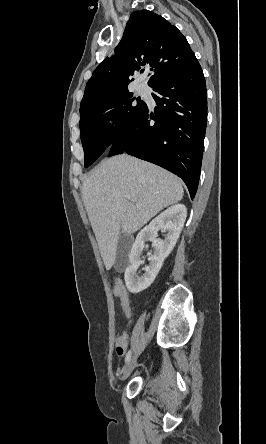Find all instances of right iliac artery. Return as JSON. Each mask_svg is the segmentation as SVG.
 I'll return each instance as SVG.
<instances>
[{"instance_id": "right-iliac-artery-1", "label": "right iliac artery", "mask_w": 266, "mask_h": 444, "mask_svg": "<svg viewBox=\"0 0 266 444\" xmlns=\"http://www.w3.org/2000/svg\"><path fill=\"white\" fill-rule=\"evenodd\" d=\"M130 358H131V350H129L126 354L125 363H127L130 360Z\"/></svg>"}]
</instances>
